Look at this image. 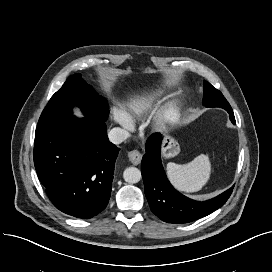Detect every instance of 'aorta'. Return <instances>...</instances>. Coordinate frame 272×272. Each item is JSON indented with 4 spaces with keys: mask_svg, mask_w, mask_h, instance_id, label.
I'll use <instances>...</instances> for the list:
<instances>
[{
    "mask_svg": "<svg viewBox=\"0 0 272 272\" xmlns=\"http://www.w3.org/2000/svg\"><path fill=\"white\" fill-rule=\"evenodd\" d=\"M123 178L128 183H138L142 178L141 171L136 167H128L123 172Z\"/></svg>",
    "mask_w": 272,
    "mask_h": 272,
    "instance_id": "aorta-1",
    "label": "aorta"
}]
</instances>
